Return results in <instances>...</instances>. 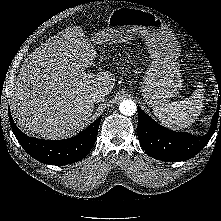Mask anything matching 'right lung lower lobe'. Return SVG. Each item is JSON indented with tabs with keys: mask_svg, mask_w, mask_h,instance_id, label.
<instances>
[{
	"mask_svg": "<svg viewBox=\"0 0 221 221\" xmlns=\"http://www.w3.org/2000/svg\"><path fill=\"white\" fill-rule=\"evenodd\" d=\"M9 119L12 131L24 150L39 162L52 165H67L83 159L92 149L102 117L75 137L64 140H43L32 138L19 130L10 111Z\"/></svg>",
	"mask_w": 221,
	"mask_h": 221,
	"instance_id": "98d812e1",
	"label": "right lung lower lobe"
}]
</instances>
